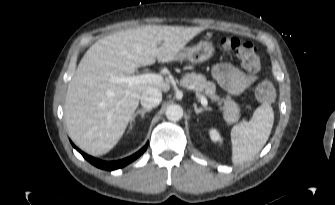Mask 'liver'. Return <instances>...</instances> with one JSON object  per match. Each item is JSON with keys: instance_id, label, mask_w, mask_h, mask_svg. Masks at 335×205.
<instances>
[{"instance_id": "6515ba94", "label": "liver", "mask_w": 335, "mask_h": 205, "mask_svg": "<svg viewBox=\"0 0 335 205\" xmlns=\"http://www.w3.org/2000/svg\"><path fill=\"white\" fill-rule=\"evenodd\" d=\"M203 27L147 25L110 34L82 57L65 97L64 115L73 142L88 154L109 152L120 140L148 88L167 92V82H115L140 66L172 63Z\"/></svg>"}]
</instances>
